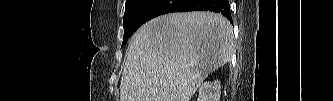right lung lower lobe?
<instances>
[{
  "label": "right lung lower lobe",
  "mask_w": 333,
  "mask_h": 101,
  "mask_svg": "<svg viewBox=\"0 0 333 101\" xmlns=\"http://www.w3.org/2000/svg\"><path fill=\"white\" fill-rule=\"evenodd\" d=\"M187 11L218 12L232 22L228 0H146L134 20V28L137 30L148 20L162 14Z\"/></svg>",
  "instance_id": "obj_1"
}]
</instances>
